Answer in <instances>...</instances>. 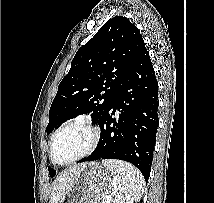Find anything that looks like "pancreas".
I'll return each instance as SVG.
<instances>
[{"instance_id":"1","label":"pancreas","mask_w":214,"mask_h":203,"mask_svg":"<svg viewBox=\"0 0 214 203\" xmlns=\"http://www.w3.org/2000/svg\"><path fill=\"white\" fill-rule=\"evenodd\" d=\"M103 203H115V201H113V200H109V201H104Z\"/></svg>"}]
</instances>
